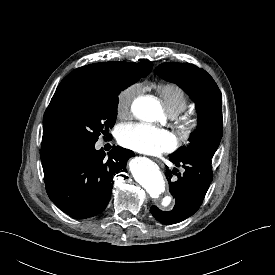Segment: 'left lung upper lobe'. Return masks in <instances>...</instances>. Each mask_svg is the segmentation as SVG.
<instances>
[{"instance_id":"left-lung-upper-lobe-1","label":"left lung upper lobe","mask_w":275,"mask_h":275,"mask_svg":"<svg viewBox=\"0 0 275 275\" xmlns=\"http://www.w3.org/2000/svg\"><path fill=\"white\" fill-rule=\"evenodd\" d=\"M155 71L163 79L181 87L195 102L199 115L190 143L171 156L212 159L222 138V95L217 84L206 71L189 63H162Z\"/></svg>"}]
</instances>
